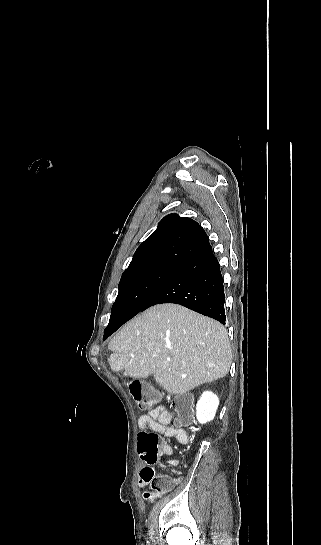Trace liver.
<instances>
[{"label":"liver","mask_w":321,"mask_h":545,"mask_svg":"<svg viewBox=\"0 0 321 545\" xmlns=\"http://www.w3.org/2000/svg\"><path fill=\"white\" fill-rule=\"evenodd\" d=\"M112 371L134 379L154 375L171 395H186L222 379L232 363L227 331L218 321L181 305L150 307L116 333L108 345Z\"/></svg>","instance_id":"6515ba94"}]
</instances>
